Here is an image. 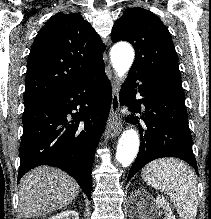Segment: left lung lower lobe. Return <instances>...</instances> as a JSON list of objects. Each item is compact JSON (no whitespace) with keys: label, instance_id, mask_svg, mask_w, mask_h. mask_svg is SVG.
Listing matches in <instances>:
<instances>
[{"label":"left lung lower lobe","instance_id":"left-lung-lower-lobe-1","mask_svg":"<svg viewBox=\"0 0 211 219\" xmlns=\"http://www.w3.org/2000/svg\"><path fill=\"white\" fill-rule=\"evenodd\" d=\"M137 93L142 99H135ZM120 104L142 114L140 118L127 119L130 123H138L141 138L139 153L127 181L147 163L163 157L183 159L198 173L181 77L144 74L130 69L120 90ZM141 104L145 112H141Z\"/></svg>","mask_w":211,"mask_h":219}]
</instances>
